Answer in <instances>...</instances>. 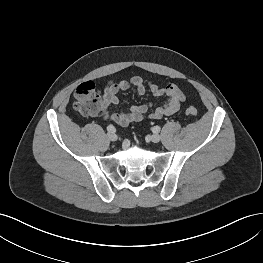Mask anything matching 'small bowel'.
<instances>
[{
	"label": "small bowel",
	"mask_w": 263,
	"mask_h": 263,
	"mask_svg": "<svg viewBox=\"0 0 263 263\" xmlns=\"http://www.w3.org/2000/svg\"><path fill=\"white\" fill-rule=\"evenodd\" d=\"M130 89H134L139 95H144L149 90L154 97L165 98V103L153 111H151V104H143L131 106L128 111L110 113V107L119 105L121 102L119 93ZM184 100V93L174 84L160 86L140 76H134L129 80H109L105 85L101 99L98 101L97 109L92 115L100 116L124 127L134 122H140L146 117L158 120L164 116L173 115L180 110Z\"/></svg>",
	"instance_id": "small-bowel-1"
}]
</instances>
